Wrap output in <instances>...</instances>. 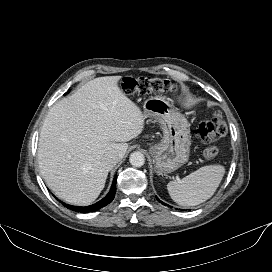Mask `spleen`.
<instances>
[{"instance_id":"spleen-1","label":"spleen","mask_w":272,"mask_h":272,"mask_svg":"<svg viewBox=\"0 0 272 272\" xmlns=\"http://www.w3.org/2000/svg\"><path fill=\"white\" fill-rule=\"evenodd\" d=\"M224 174L225 168L221 165L204 166L181 180L170 181L167 190L178 205L195 206L213 196Z\"/></svg>"}]
</instances>
